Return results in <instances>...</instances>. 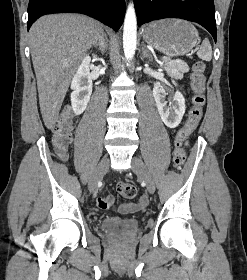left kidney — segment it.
<instances>
[{"label": "left kidney", "mask_w": 247, "mask_h": 280, "mask_svg": "<svg viewBox=\"0 0 247 280\" xmlns=\"http://www.w3.org/2000/svg\"><path fill=\"white\" fill-rule=\"evenodd\" d=\"M173 84L176 85L174 81ZM153 96L164 124L169 128L177 127L186 109L183 95L179 91H176L172 104L168 105L165 90L159 82H156L153 87Z\"/></svg>", "instance_id": "1"}]
</instances>
